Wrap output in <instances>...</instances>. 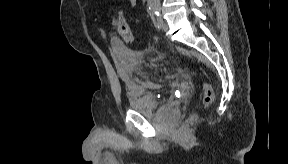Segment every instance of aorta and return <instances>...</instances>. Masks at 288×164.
<instances>
[{"mask_svg":"<svg viewBox=\"0 0 288 164\" xmlns=\"http://www.w3.org/2000/svg\"><path fill=\"white\" fill-rule=\"evenodd\" d=\"M148 4L151 10H159L160 8V0H148Z\"/></svg>","mask_w":288,"mask_h":164,"instance_id":"762f6f07","label":"aorta"}]
</instances>
